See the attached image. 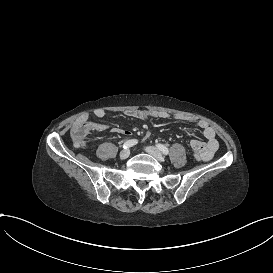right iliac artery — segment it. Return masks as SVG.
I'll return each instance as SVG.
<instances>
[{
    "mask_svg": "<svg viewBox=\"0 0 273 273\" xmlns=\"http://www.w3.org/2000/svg\"><path fill=\"white\" fill-rule=\"evenodd\" d=\"M136 144H137V140H135V139L128 140L123 144V148L128 149V148H130V147H132V146H134Z\"/></svg>",
    "mask_w": 273,
    "mask_h": 273,
    "instance_id": "82829eb1",
    "label": "right iliac artery"
}]
</instances>
